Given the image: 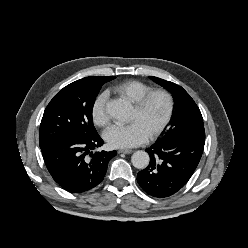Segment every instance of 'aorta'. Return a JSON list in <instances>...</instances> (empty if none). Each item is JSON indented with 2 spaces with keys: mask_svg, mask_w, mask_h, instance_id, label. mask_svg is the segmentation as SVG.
Masks as SVG:
<instances>
[{
  "mask_svg": "<svg viewBox=\"0 0 248 248\" xmlns=\"http://www.w3.org/2000/svg\"><path fill=\"white\" fill-rule=\"evenodd\" d=\"M106 112L114 119L126 121L130 116L131 106L123 99H114L107 103ZM149 161V154L142 150L134 152L131 157V162L137 169H145Z\"/></svg>",
  "mask_w": 248,
  "mask_h": 248,
  "instance_id": "762f6f07",
  "label": "aorta"
}]
</instances>
